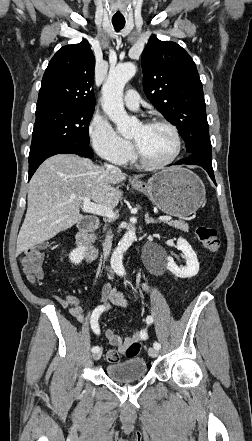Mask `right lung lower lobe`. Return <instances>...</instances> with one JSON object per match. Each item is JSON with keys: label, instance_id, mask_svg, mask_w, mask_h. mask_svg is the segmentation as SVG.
Here are the masks:
<instances>
[{"label": "right lung lower lobe", "instance_id": "1", "mask_svg": "<svg viewBox=\"0 0 252 441\" xmlns=\"http://www.w3.org/2000/svg\"><path fill=\"white\" fill-rule=\"evenodd\" d=\"M77 154L82 157L92 158L94 156L91 148L86 144L60 143L45 147L29 155V180L39 165L56 154Z\"/></svg>", "mask_w": 252, "mask_h": 441}]
</instances>
